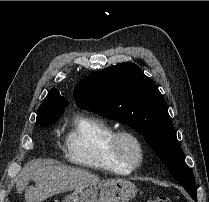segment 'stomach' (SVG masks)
<instances>
[{"label": "stomach", "mask_w": 209, "mask_h": 202, "mask_svg": "<svg viewBox=\"0 0 209 202\" xmlns=\"http://www.w3.org/2000/svg\"><path fill=\"white\" fill-rule=\"evenodd\" d=\"M137 192L130 181L110 179L75 189L62 202H128Z\"/></svg>", "instance_id": "stomach-1"}]
</instances>
